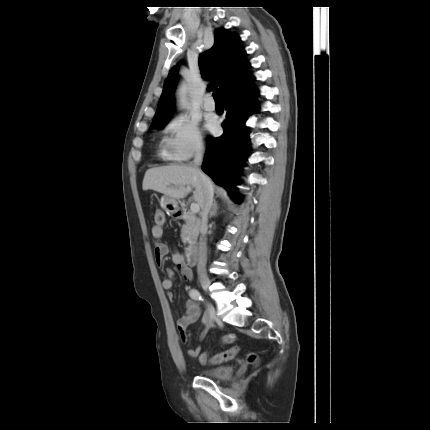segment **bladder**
Returning a JSON list of instances; mask_svg holds the SVG:
<instances>
[{"label": "bladder", "mask_w": 430, "mask_h": 430, "mask_svg": "<svg viewBox=\"0 0 430 430\" xmlns=\"http://www.w3.org/2000/svg\"><path fill=\"white\" fill-rule=\"evenodd\" d=\"M202 375L212 379H227L232 375L231 366H217L202 371Z\"/></svg>", "instance_id": "obj_1"}]
</instances>
